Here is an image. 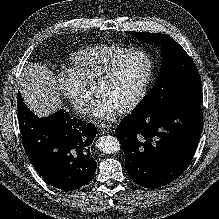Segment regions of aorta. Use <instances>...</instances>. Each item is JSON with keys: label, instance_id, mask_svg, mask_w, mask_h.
Listing matches in <instances>:
<instances>
[{"label": "aorta", "instance_id": "obj_1", "mask_svg": "<svg viewBox=\"0 0 219 219\" xmlns=\"http://www.w3.org/2000/svg\"><path fill=\"white\" fill-rule=\"evenodd\" d=\"M97 147L106 154H114L121 148L120 141L113 136H102L98 139Z\"/></svg>", "mask_w": 219, "mask_h": 219}]
</instances>
